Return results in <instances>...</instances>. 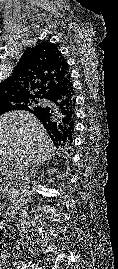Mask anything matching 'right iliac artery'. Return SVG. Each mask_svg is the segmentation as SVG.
Here are the masks:
<instances>
[{
    "mask_svg": "<svg viewBox=\"0 0 118 269\" xmlns=\"http://www.w3.org/2000/svg\"><path fill=\"white\" fill-rule=\"evenodd\" d=\"M24 268H26V267H23V266L21 265V263H18V266H17L16 269H24Z\"/></svg>",
    "mask_w": 118,
    "mask_h": 269,
    "instance_id": "1",
    "label": "right iliac artery"
}]
</instances>
